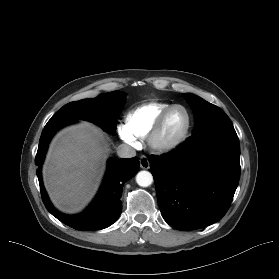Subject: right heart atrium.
Masks as SVG:
<instances>
[{
  "label": "right heart atrium",
  "instance_id": "right-heart-atrium-1",
  "mask_svg": "<svg viewBox=\"0 0 279 279\" xmlns=\"http://www.w3.org/2000/svg\"><path fill=\"white\" fill-rule=\"evenodd\" d=\"M117 131L119 136L124 142L131 145L135 143V138L129 133V131L126 129L125 126L123 125L118 126Z\"/></svg>",
  "mask_w": 279,
  "mask_h": 279
}]
</instances>
